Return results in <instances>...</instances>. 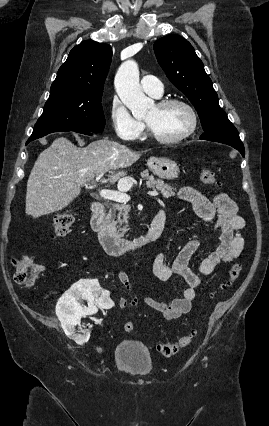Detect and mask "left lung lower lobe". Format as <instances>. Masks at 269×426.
<instances>
[{
	"instance_id": "0a47b994",
	"label": "left lung lower lobe",
	"mask_w": 269,
	"mask_h": 426,
	"mask_svg": "<svg viewBox=\"0 0 269 426\" xmlns=\"http://www.w3.org/2000/svg\"><path fill=\"white\" fill-rule=\"evenodd\" d=\"M200 139L215 141V142H220V143H223V144L230 145V146L234 147L235 149H237L242 154L243 157L245 156L244 145H243L242 141L240 140L239 136L218 137V138H214V139H207V138L200 136Z\"/></svg>"
}]
</instances>
